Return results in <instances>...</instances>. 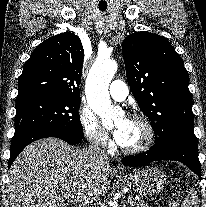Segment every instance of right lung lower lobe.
I'll return each instance as SVG.
<instances>
[{
    "instance_id": "obj_1",
    "label": "right lung lower lobe",
    "mask_w": 206,
    "mask_h": 207,
    "mask_svg": "<svg viewBox=\"0 0 206 207\" xmlns=\"http://www.w3.org/2000/svg\"><path fill=\"white\" fill-rule=\"evenodd\" d=\"M46 137H57L60 138L67 143L71 145L78 144L82 141L83 138L80 137H75L72 135H69L67 133L58 131V130H43L39 131L36 133H33L26 138L22 139L21 141L11 144V149H10V158L8 161V168L11 166L15 158L19 155V153L31 142L36 141L41 138H46Z\"/></svg>"
}]
</instances>
